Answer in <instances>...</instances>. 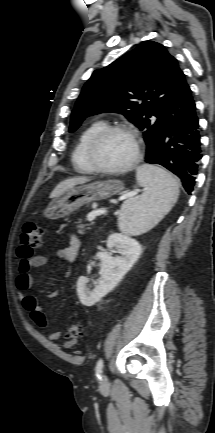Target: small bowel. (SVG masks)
<instances>
[{
    "label": "small bowel",
    "mask_w": 215,
    "mask_h": 433,
    "mask_svg": "<svg viewBox=\"0 0 215 433\" xmlns=\"http://www.w3.org/2000/svg\"><path fill=\"white\" fill-rule=\"evenodd\" d=\"M80 249V241L76 236H71L69 245L60 248L56 251L57 256L62 259L66 264L73 263L78 255ZM47 264V259L41 255H32L27 258H22L18 267V276L15 281L16 288L20 295L23 308L29 313L31 320L40 328L46 329L48 322L43 313V308L39 304L36 297L28 295L25 292L31 289L34 285V277L31 274L33 268L43 267ZM69 275V270L66 271L65 276ZM56 294H54L55 296ZM61 332L52 331L48 334L51 341H57L61 338ZM75 344V340H66L64 347L69 348Z\"/></svg>",
    "instance_id": "obj_1"
}]
</instances>
